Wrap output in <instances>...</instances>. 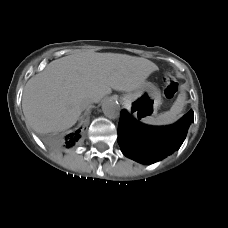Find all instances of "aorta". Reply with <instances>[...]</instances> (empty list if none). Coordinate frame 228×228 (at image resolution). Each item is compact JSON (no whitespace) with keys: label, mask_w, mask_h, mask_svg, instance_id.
<instances>
[{"label":"aorta","mask_w":228,"mask_h":228,"mask_svg":"<svg viewBox=\"0 0 228 228\" xmlns=\"http://www.w3.org/2000/svg\"><path fill=\"white\" fill-rule=\"evenodd\" d=\"M102 111L108 118H118L120 116V105L113 99H107L102 104Z\"/></svg>","instance_id":"1"}]
</instances>
